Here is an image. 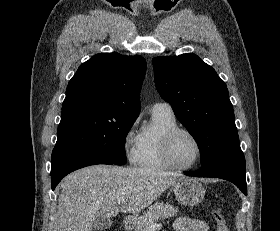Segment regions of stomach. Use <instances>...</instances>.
Segmentation results:
<instances>
[{
	"label": "stomach",
	"mask_w": 280,
	"mask_h": 231,
	"mask_svg": "<svg viewBox=\"0 0 280 231\" xmlns=\"http://www.w3.org/2000/svg\"><path fill=\"white\" fill-rule=\"evenodd\" d=\"M173 191L176 199L183 205H198L204 199L205 189L202 183L193 177H178L173 183Z\"/></svg>",
	"instance_id": "obj_1"
}]
</instances>
